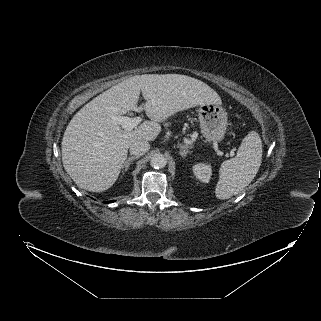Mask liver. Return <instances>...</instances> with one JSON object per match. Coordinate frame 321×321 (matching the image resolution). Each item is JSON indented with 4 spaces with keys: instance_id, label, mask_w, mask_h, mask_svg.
<instances>
[{
    "instance_id": "6515ba94",
    "label": "liver",
    "mask_w": 321,
    "mask_h": 321,
    "mask_svg": "<svg viewBox=\"0 0 321 321\" xmlns=\"http://www.w3.org/2000/svg\"><path fill=\"white\" fill-rule=\"evenodd\" d=\"M146 101L137 106L140 93ZM221 104L219 95L204 82L180 74L130 77L104 91L69 122L62 139L64 169L82 189L102 192L118 179L130 145L153 141L160 123L177 112L203 104ZM144 109L151 121L133 131L112 123L114 116Z\"/></svg>"
}]
</instances>
